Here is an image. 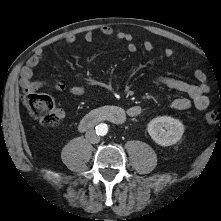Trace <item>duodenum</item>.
<instances>
[{
  "mask_svg": "<svg viewBox=\"0 0 221 221\" xmlns=\"http://www.w3.org/2000/svg\"><path fill=\"white\" fill-rule=\"evenodd\" d=\"M105 121L121 125L126 121V114L116 106L101 107L86 114L79 123V129L85 131Z\"/></svg>",
  "mask_w": 221,
  "mask_h": 221,
  "instance_id": "obj_1",
  "label": "duodenum"
}]
</instances>
